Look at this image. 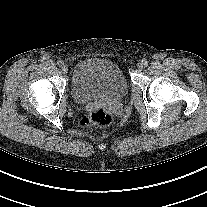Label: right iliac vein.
I'll return each mask as SVG.
<instances>
[{
    "instance_id": "obj_1",
    "label": "right iliac vein",
    "mask_w": 207,
    "mask_h": 207,
    "mask_svg": "<svg viewBox=\"0 0 207 207\" xmlns=\"http://www.w3.org/2000/svg\"><path fill=\"white\" fill-rule=\"evenodd\" d=\"M61 69H62V72H63L64 74H66V73L68 72V66L65 65V64L61 66Z\"/></svg>"
}]
</instances>
